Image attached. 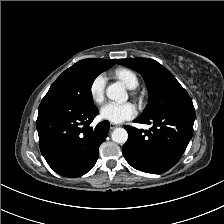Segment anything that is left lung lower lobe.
<instances>
[{"label":"left lung lower lobe","mask_w":224,"mask_h":224,"mask_svg":"<svg viewBox=\"0 0 224 224\" xmlns=\"http://www.w3.org/2000/svg\"><path fill=\"white\" fill-rule=\"evenodd\" d=\"M193 104L164 110L151 118L138 117L137 123L153 124L150 131L125 126L128 140L123 146L127 162L137 170L160 174L172 168L183 155L193 134Z\"/></svg>","instance_id":"0a47b994"}]
</instances>
